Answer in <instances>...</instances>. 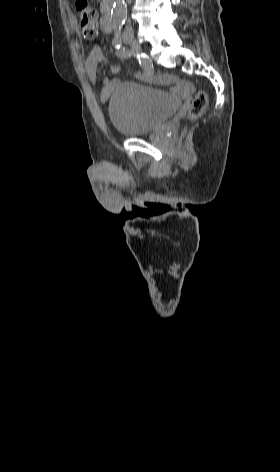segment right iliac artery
Masks as SVG:
<instances>
[{"mask_svg":"<svg viewBox=\"0 0 280 472\" xmlns=\"http://www.w3.org/2000/svg\"><path fill=\"white\" fill-rule=\"evenodd\" d=\"M116 54L120 58H129L132 55L135 56L136 59L138 60L139 64H140V66L144 70V73L141 76V78L145 81H152L154 79V77H153V73H154L153 64H152L151 60L145 54H138V53H135L134 50H129V49H126L124 47L117 48Z\"/></svg>","mask_w":280,"mask_h":472,"instance_id":"right-iliac-artery-1","label":"right iliac artery"}]
</instances>
